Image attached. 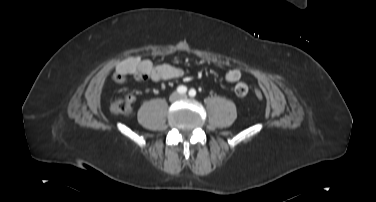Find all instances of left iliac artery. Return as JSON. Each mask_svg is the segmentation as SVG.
Listing matches in <instances>:
<instances>
[{
    "instance_id": "obj_1",
    "label": "left iliac artery",
    "mask_w": 376,
    "mask_h": 202,
    "mask_svg": "<svg viewBox=\"0 0 376 202\" xmlns=\"http://www.w3.org/2000/svg\"><path fill=\"white\" fill-rule=\"evenodd\" d=\"M196 95V91L194 90V89H191L190 91H189V96L190 97H194Z\"/></svg>"
}]
</instances>
